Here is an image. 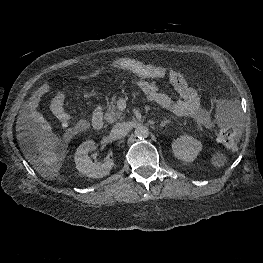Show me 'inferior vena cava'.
<instances>
[{
  "label": "inferior vena cava",
  "instance_id": "602c4592",
  "mask_svg": "<svg viewBox=\"0 0 263 263\" xmlns=\"http://www.w3.org/2000/svg\"><path fill=\"white\" fill-rule=\"evenodd\" d=\"M129 132V127L126 123H117L111 130V135L115 139H121L125 137Z\"/></svg>",
  "mask_w": 263,
  "mask_h": 263
}]
</instances>
